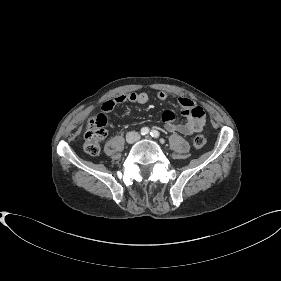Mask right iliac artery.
<instances>
[{
    "mask_svg": "<svg viewBox=\"0 0 281 281\" xmlns=\"http://www.w3.org/2000/svg\"><path fill=\"white\" fill-rule=\"evenodd\" d=\"M141 135H147L149 133V129L147 127H143L140 131Z\"/></svg>",
    "mask_w": 281,
    "mask_h": 281,
    "instance_id": "right-iliac-artery-1",
    "label": "right iliac artery"
}]
</instances>
